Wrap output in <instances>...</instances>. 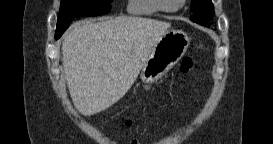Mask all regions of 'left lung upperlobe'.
Returning <instances> with one entry per match:
<instances>
[{
  "label": "left lung upper lobe",
  "instance_id": "5c2ea615",
  "mask_svg": "<svg viewBox=\"0 0 273 144\" xmlns=\"http://www.w3.org/2000/svg\"><path fill=\"white\" fill-rule=\"evenodd\" d=\"M191 9L193 16L190 17L191 20H195L201 15L207 13H214V8L211 0H191Z\"/></svg>",
  "mask_w": 273,
  "mask_h": 144
}]
</instances>
